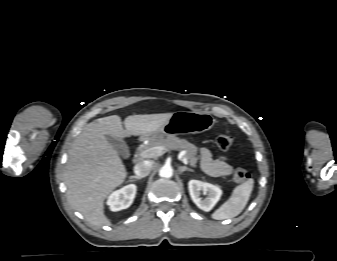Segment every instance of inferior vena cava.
Returning a JSON list of instances; mask_svg holds the SVG:
<instances>
[{
    "label": "inferior vena cava",
    "instance_id": "602c4592",
    "mask_svg": "<svg viewBox=\"0 0 337 261\" xmlns=\"http://www.w3.org/2000/svg\"><path fill=\"white\" fill-rule=\"evenodd\" d=\"M152 166V161L139 162L134 166V172L139 177H146L150 174Z\"/></svg>",
    "mask_w": 337,
    "mask_h": 261
}]
</instances>
